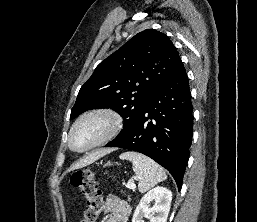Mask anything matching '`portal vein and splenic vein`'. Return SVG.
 <instances>
[{
	"label": "portal vein and splenic vein",
	"mask_w": 257,
	"mask_h": 222,
	"mask_svg": "<svg viewBox=\"0 0 257 222\" xmlns=\"http://www.w3.org/2000/svg\"><path fill=\"white\" fill-rule=\"evenodd\" d=\"M128 188L134 190V189L136 188V185H135L134 183H130V184L128 185Z\"/></svg>",
	"instance_id": "portal-vein-and-splenic-vein-1"
}]
</instances>
